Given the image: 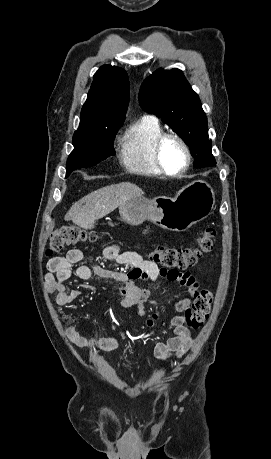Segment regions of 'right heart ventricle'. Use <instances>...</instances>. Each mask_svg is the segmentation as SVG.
Instances as JSON below:
<instances>
[{"label": "right heart ventricle", "mask_w": 271, "mask_h": 459, "mask_svg": "<svg viewBox=\"0 0 271 459\" xmlns=\"http://www.w3.org/2000/svg\"><path fill=\"white\" fill-rule=\"evenodd\" d=\"M163 132L162 125L152 116H143L133 124L120 151L123 167L132 173L163 177L164 173L153 160V143Z\"/></svg>", "instance_id": "obj_1"}]
</instances>
